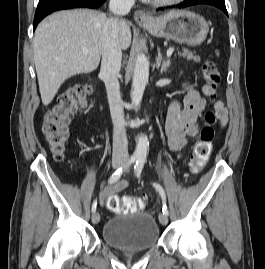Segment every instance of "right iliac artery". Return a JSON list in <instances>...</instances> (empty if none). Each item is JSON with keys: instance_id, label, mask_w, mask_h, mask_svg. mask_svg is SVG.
I'll return each mask as SVG.
<instances>
[{"instance_id": "obj_1", "label": "right iliac artery", "mask_w": 265, "mask_h": 269, "mask_svg": "<svg viewBox=\"0 0 265 269\" xmlns=\"http://www.w3.org/2000/svg\"><path fill=\"white\" fill-rule=\"evenodd\" d=\"M137 159L138 157L137 156H131L128 163H127V166L137 162ZM124 169H125V166L124 167H121L119 169H117L109 178V184H113L115 182H117L120 177L122 176L123 172H124ZM96 207H97V200H94L93 201V204H92V212H95L96 210Z\"/></svg>"}]
</instances>
